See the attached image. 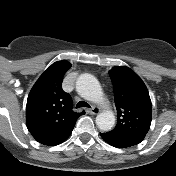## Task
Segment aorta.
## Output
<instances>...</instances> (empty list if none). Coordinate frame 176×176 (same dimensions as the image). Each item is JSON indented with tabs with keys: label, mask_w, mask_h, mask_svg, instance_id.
Instances as JSON below:
<instances>
[{
	"label": "aorta",
	"mask_w": 176,
	"mask_h": 176,
	"mask_svg": "<svg viewBox=\"0 0 176 176\" xmlns=\"http://www.w3.org/2000/svg\"><path fill=\"white\" fill-rule=\"evenodd\" d=\"M83 96L94 103L103 104L105 98L98 81L92 76L83 79ZM115 123V116L112 111L104 110L96 117V124L102 131L110 130Z\"/></svg>",
	"instance_id": "aorta-1"
}]
</instances>
